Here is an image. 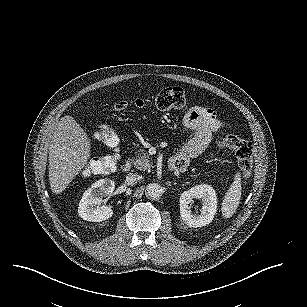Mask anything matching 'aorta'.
Masks as SVG:
<instances>
[{"instance_id": "aorta-1", "label": "aorta", "mask_w": 307, "mask_h": 307, "mask_svg": "<svg viewBox=\"0 0 307 307\" xmlns=\"http://www.w3.org/2000/svg\"><path fill=\"white\" fill-rule=\"evenodd\" d=\"M163 194V187L156 182H151L146 186V196L151 199H159Z\"/></svg>"}]
</instances>
